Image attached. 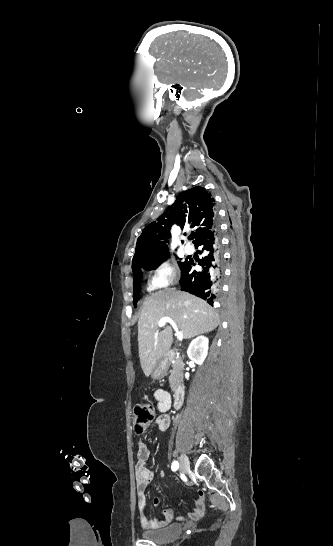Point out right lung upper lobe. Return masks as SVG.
Here are the masks:
<instances>
[{
    "mask_svg": "<svg viewBox=\"0 0 333 546\" xmlns=\"http://www.w3.org/2000/svg\"><path fill=\"white\" fill-rule=\"evenodd\" d=\"M214 199L203 187H193L180 193L176 201L156 221L150 223L139 236L133 257L134 276L158 266L168 253L164 240L169 238L175 223L182 229L193 228L195 241L216 227ZM164 240V241H163Z\"/></svg>",
    "mask_w": 333,
    "mask_h": 546,
    "instance_id": "obj_1",
    "label": "right lung upper lobe"
}]
</instances>
